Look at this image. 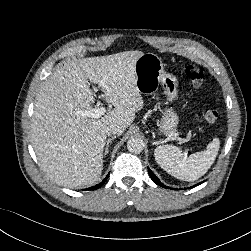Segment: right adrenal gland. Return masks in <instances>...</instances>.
I'll use <instances>...</instances> for the list:
<instances>
[{"label":"right adrenal gland","instance_id":"right-adrenal-gland-1","mask_svg":"<svg viewBox=\"0 0 251 251\" xmlns=\"http://www.w3.org/2000/svg\"><path fill=\"white\" fill-rule=\"evenodd\" d=\"M116 138V136L112 137V138H109L107 140V144H106V148H105V152H104V155H106L108 152H109V146H110V143L112 142V140H114Z\"/></svg>","mask_w":251,"mask_h":251}]
</instances>
